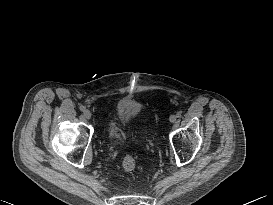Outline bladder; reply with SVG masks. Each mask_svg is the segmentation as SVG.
I'll return each mask as SVG.
<instances>
[{
  "label": "bladder",
  "mask_w": 273,
  "mask_h": 205,
  "mask_svg": "<svg viewBox=\"0 0 273 205\" xmlns=\"http://www.w3.org/2000/svg\"><path fill=\"white\" fill-rule=\"evenodd\" d=\"M142 112L139 101L131 98L119 100L113 109V115L107 125V136L111 143L122 144L131 138V131L125 125L138 118Z\"/></svg>",
  "instance_id": "bladder-1"
}]
</instances>
